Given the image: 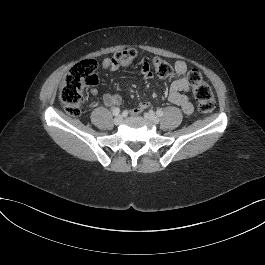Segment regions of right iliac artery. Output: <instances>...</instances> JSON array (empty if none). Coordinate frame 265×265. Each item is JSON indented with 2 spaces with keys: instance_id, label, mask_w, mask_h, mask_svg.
Here are the masks:
<instances>
[{
  "instance_id": "right-iliac-artery-1",
  "label": "right iliac artery",
  "mask_w": 265,
  "mask_h": 265,
  "mask_svg": "<svg viewBox=\"0 0 265 265\" xmlns=\"http://www.w3.org/2000/svg\"><path fill=\"white\" fill-rule=\"evenodd\" d=\"M112 113H113L114 116L119 115V113H120V108H119V107H115V108H113Z\"/></svg>"
}]
</instances>
